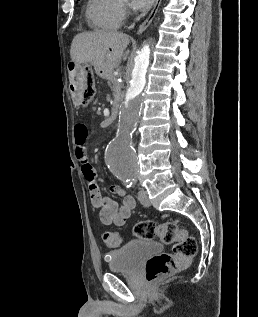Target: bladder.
Here are the masks:
<instances>
[{"label": "bladder", "instance_id": "bladder-1", "mask_svg": "<svg viewBox=\"0 0 258 317\" xmlns=\"http://www.w3.org/2000/svg\"><path fill=\"white\" fill-rule=\"evenodd\" d=\"M160 243L132 240L119 249L108 253L107 261L111 271H135L145 260L162 253Z\"/></svg>", "mask_w": 258, "mask_h": 317}]
</instances>
